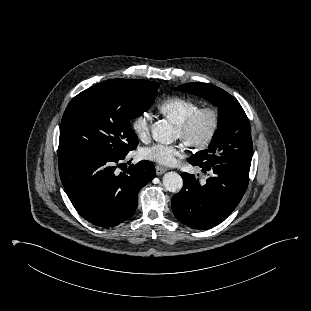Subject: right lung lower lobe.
I'll list each match as a JSON object with an SVG mask.
<instances>
[{
	"label": "right lung lower lobe",
	"instance_id": "98d812e1",
	"mask_svg": "<svg viewBox=\"0 0 311 311\" xmlns=\"http://www.w3.org/2000/svg\"><path fill=\"white\" fill-rule=\"evenodd\" d=\"M123 159L59 157L60 178L71 203L96 226L113 227L128 220L136 210L138 191L155 177L150 161H140L117 174L115 164Z\"/></svg>",
	"mask_w": 311,
	"mask_h": 311
}]
</instances>
